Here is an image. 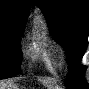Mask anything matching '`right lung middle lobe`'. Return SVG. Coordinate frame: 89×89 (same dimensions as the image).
Listing matches in <instances>:
<instances>
[{"label": "right lung middle lobe", "mask_w": 89, "mask_h": 89, "mask_svg": "<svg viewBox=\"0 0 89 89\" xmlns=\"http://www.w3.org/2000/svg\"><path fill=\"white\" fill-rule=\"evenodd\" d=\"M23 22L0 18V79L19 74L22 54L19 39Z\"/></svg>", "instance_id": "right-lung-middle-lobe-1"}]
</instances>
